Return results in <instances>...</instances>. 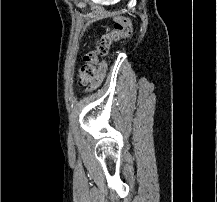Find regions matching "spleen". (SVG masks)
<instances>
[{
    "label": "spleen",
    "instance_id": "spleen-1",
    "mask_svg": "<svg viewBox=\"0 0 217 202\" xmlns=\"http://www.w3.org/2000/svg\"><path fill=\"white\" fill-rule=\"evenodd\" d=\"M106 5H111V0H100L97 2V7H106ZM112 5H117V0H112Z\"/></svg>",
    "mask_w": 217,
    "mask_h": 202
}]
</instances>
